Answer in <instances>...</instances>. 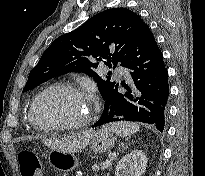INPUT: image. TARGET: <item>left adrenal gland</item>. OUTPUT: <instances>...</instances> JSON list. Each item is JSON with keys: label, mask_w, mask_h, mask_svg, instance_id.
Here are the masks:
<instances>
[{"label": "left adrenal gland", "mask_w": 205, "mask_h": 176, "mask_svg": "<svg viewBox=\"0 0 205 176\" xmlns=\"http://www.w3.org/2000/svg\"><path fill=\"white\" fill-rule=\"evenodd\" d=\"M125 147H124V144L122 145V149H124ZM111 168H112V163H111V166H110V168H109V170H108V173H107V176H109V174H110V171H111Z\"/></svg>", "instance_id": "left-adrenal-gland-1"}]
</instances>
